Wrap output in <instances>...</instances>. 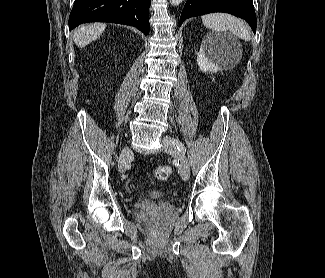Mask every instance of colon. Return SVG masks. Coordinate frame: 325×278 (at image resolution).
Segmentation results:
<instances>
[{
    "mask_svg": "<svg viewBox=\"0 0 325 278\" xmlns=\"http://www.w3.org/2000/svg\"><path fill=\"white\" fill-rule=\"evenodd\" d=\"M171 173H172L171 167L168 165H164V166L157 167L153 172V176L155 179L159 181H164L170 177ZM148 181H152V178L151 177L148 178Z\"/></svg>",
    "mask_w": 325,
    "mask_h": 278,
    "instance_id": "5ec220e1",
    "label": "colon"
}]
</instances>
